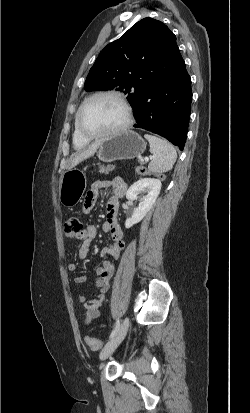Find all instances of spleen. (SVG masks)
Returning <instances> with one entry per match:
<instances>
[{
    "label": "spleen",
    "mask_w": 250,
    "mask_h": 413,
    "mask_svg": "<svg viewBox=\"0 0 250 413\" xmlns=\"http://www.w3.org/2000/svg\"><path fill=\"white\" fill-rule=\"evenodd\" d=\"M150 144V152L153 159L148 165V169L153 173H164L173 168L177 158V153L172 144L167 140L145 134L144 136Z\"/></svg>",
    "instance_id": "1"
}]
</instances>
